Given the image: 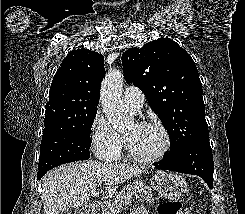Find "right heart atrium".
I'll return each mask as SVG.
<instances>
[{
    "label": "right heart atrium",
    "mask_w": 245,
    "mask_h": 214,
    "mask_svg": "<svg viewBox=\"0 0 245 214\" xmlns=\"http://www.w3.org/2000/svg\"><path fill=\"white\" fill-rule=\"evenodd\" d=\"M91 147L95 155L103 161L118 158L123 141L101 112H97L90 125Z\"/></svg>",
    "instance_id": "obj_1"
}]
</instances>
